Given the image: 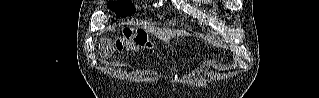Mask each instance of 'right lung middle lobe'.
Wrapping results in <instances>:
<instances>
[{
	"instance_id": "dd1d6c3e",
	"label": "right lung middle lobe",
	"mask_w": 319,
	"mask_h": 98,
	"mask_svg": "<svg viewBox=\"0 0 319 98\" xmlns=\"http://www.w3.org/2000/svg\"><path fill=\"white\" fill-rule=\"evenodd\" d=\"M107 6L112 11H115L118 17L130 16L135 12V8L131 1H111Z\"/></svg>"
}]
</instances>
